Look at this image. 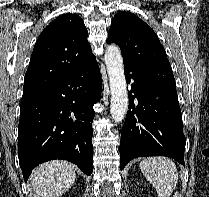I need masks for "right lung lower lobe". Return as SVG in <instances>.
I'll return each mask as SVG.
<instances>
[{"instance_id":"98d812e1","label":"right lung lower lobe","mask_w":209,"mask_h":197,"mask_svg":"<svg viewBox=\"0 0 209 197\" xmlns=\"http://www.w3.org/2000/svg\"><path fill=\"white\" fill-rule=\"evenodd\" d=\"M101 86L94 57L57 81L23 92L18 145L25 180L37 165L53 159L92 173V106L100 100Z\"/></svg>"}]
</instances>
